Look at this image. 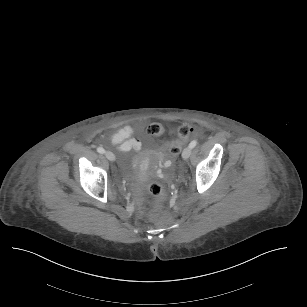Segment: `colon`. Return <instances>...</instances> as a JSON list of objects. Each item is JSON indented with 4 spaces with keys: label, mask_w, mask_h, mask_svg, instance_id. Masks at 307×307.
<instances>
[{
    "label": "colon",
    "mask_w": 307,
    "mask_h": 307,
    "mask_svg": "<svg viewBox=\"0 0 307 307\" xmlns=\"http://www.w3.org/2000/svg\"><path fill=\"white\" fill-rule=\"evenodd\" d=\"M194 131V128L189 125H182L178 129V136L180 137L179 141H177L174 145L171 143H165L164 148L165 151L168 153H175L179 155L181 150L179 149L183 144H185L190 138L191 133ZM162 132V127L159 124H152L148 127V133L153 135H159ZM149 191L151 192L152 196L156 199H161L166 194V189L163 185L159 182H151L148 185Z\"/></svg>",
    "instance_id": "colon-1"
}]
</instances>
